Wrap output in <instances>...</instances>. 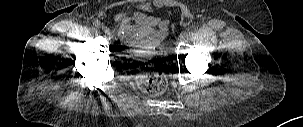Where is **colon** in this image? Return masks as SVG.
Here are the masks:
<instances>
[{"label":"colon","mask_w":303,"mask_h":127,"mask_svg":"<svg viewBox=\"0 0 303 127\" xmlns=\"http://www.w3.org/2000/svg\"><path fill=\"white\" fill-rule=\"evenodd\" d=\"M136 83L143 92L157 96L163 94L167 89V78L165 73L153 62H142L136 75Z\"/></svg>","instance_id":"colon-1"}]
</instances>
